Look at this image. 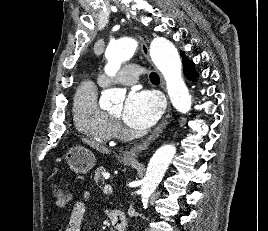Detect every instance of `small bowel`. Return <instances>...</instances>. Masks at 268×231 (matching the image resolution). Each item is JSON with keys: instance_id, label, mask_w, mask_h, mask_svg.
Returning a JSON list of instances; mask_svg holds the SVG:
<instances>
[{"instance_id": "1", "label": "small bowel", "mask_w": 268, "mask_h": 231, "mask_svg": "<svg viewBox=\"0 0 268 231\" xmlns=\"http://www.w3.org/2000/svg\"><path fill=\"white\" fill-rule=\"evenodd\" d=\"M87 210V201H77L72 209L70 218L65 225H58L60 231H81L83 219ZM112 214V212H110Z\"/></svg>"}]
</instances>
